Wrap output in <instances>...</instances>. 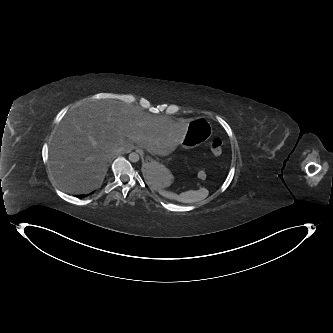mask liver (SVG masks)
Returning a JSON list of instances; mask_svg holds the SVG:
<instances>
[{"label":"liver","instance_id":"6515ba94","mask_svg":"<svg viewBox=\"0 0 333 333\" xmlns=\"http://www.w3.org/2000/svg\"><path fill=\"white\" fill-rule=\"evenodd\" d=\"M184 121L152 115L141 107L114 100H90L59 124L49 147L56 182L68 193L87 194L104 180L113 156L133 143L166 156L186 134Z\"/></svg>","mask_w":333,"mask_h":333}]
</instances>
